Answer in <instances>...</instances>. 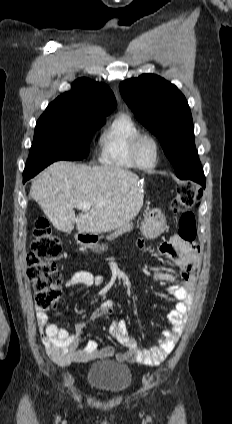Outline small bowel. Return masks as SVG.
<instances>
[{
	"label": "small bowel",
	"instance_id": "obj_1",
	"mask_svg": "<svg viewBox=\"0 0 232 424\" xmlns=\"http://www.w3.org/2000/svg\"><path fill=\"white\" fill-rule=\"evenodd\" d=\"M137 245L141 248L145 247L142 239L137 240ZM158 251L178 265L182 280V284H172L166 289L177 303L167 314L171 328L163 332L158 340V345L150 349H141L137 342L129 336L126 321L117 319L112 321L109 333L126 348L124 352L116 353L115 349L110 346L100 348L95 340H90L84 346H80L81 336L88 324L105 315L115 313L114 303L109 299L101 302L90 317L78 323L73 331L51 323L48 314L44 310L36 308V318L43 344L47 354L55 363L67 366L115 356L119 361L138 362L153 367L166 359L181 337L192 310L195 290L194 273L199 266L200 248L195 243L183 241L178 235H172L168 240L159 244ZM153 279L161 283L172 282L175 275L172 272H157L153 275ZM103 283L104 278L101 275L78 270L70 274L65 282V287H92L100 286Z\"/></svg>",
	"mask_w": 232,
	"mask_h": 424
}]
</instances>
